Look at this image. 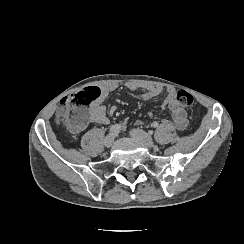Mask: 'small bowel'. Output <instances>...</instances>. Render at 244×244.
I'll return each instance as SVG.
<instances>
[{"label":"small bowel","instance_id":"small-bowel-1","mask_svg":"<svg viewBox=\"0 0 244 244\" xmlns=\"http://www.w3.org/2000/svg\"><path fill=\"white\" fill-rule=\"evenodd\" d=\"M100 96L97 100H95L91 105L90 109L92 111V118L90 122L96 124L106 125L109 123V117L107 115L106 108L104 106L105 99L118 88V84L116 83H106L102 86H99ZM126 88L133 90L135 89V85L126 84ZM161 87H151L145 92L142 97L148 101H152L155 97L161 94ZM174 90L172 88L167 89L168 97L163 101L162 107L164 109H168L173 118V122L164 121L163 125L166 128H175L178 131L184 130L188 125V117L187 112L184 108L177 106L172 99ZM152 115V113H150Z\"/></svg>","mask_w":244,"mask_h":244}]
</instances>
